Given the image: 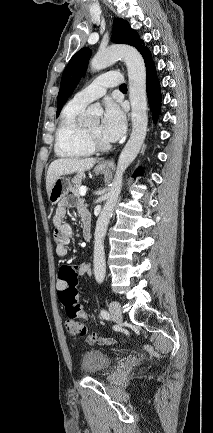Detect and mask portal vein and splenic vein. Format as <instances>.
I'll return each mask as SVG.
<instances>
[{
  "instance_id": "18ae733b",
  "label": "portal vein and splenic vein",
  "mask_w": 213,
  "mask_h": 433,
  "mask_svg": "<svg viewBox=\"0 0 213 433\" xmlns=\"http://www.w3.org/2000/svg\"><path fill=\"white\" fill-rule=\"evenodd\" d=\"M87 191H88V188L85 187V186H82V187H80V189H79V194H80L81 196H85Z\"/></svg>"
}]
</instances>
